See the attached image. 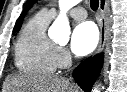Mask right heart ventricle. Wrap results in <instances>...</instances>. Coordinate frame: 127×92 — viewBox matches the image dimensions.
I'll list each match as a JSON object with an SVG mask.
<instances>
[{
  "label": "right heart ventricle",
  "mask_w": 127,
  "mask_h": 92,
  "mask_svg": "<svg viewBox=\"0 0 127 92\" xmlns=\"http://www.w3.org/2000/svg\"><path fill=\"white\" fill-rule=\"evenodd\" d=\"M52 16L45 10L35 14L24 25L15 45V66L25 74H52L58 68L57 45L46 29Z\"/></svg>",
  "instance_id": "1"
}]
</instances>
